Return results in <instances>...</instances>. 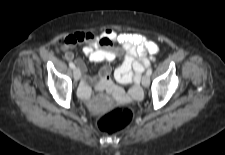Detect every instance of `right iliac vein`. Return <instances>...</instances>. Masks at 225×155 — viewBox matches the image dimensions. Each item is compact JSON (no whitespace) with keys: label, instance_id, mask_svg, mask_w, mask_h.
I'll list each match as a JSON object with an SVG mask.
<instances>
[{"label":"right iliac vein","instance_id":"1","mask_svg":"<svg viewBox=\"0 0 225 155\" xmlns=\"http://www.w3.org/2000/svg\"><path fill=\"white\" fill-rule=\"evenodd\" d=\"M73 76H74V79L76 81H78L80 79L81 73H80L79 68H74V70H73Z\"/></svg>","mask_w":225,"mask_h":155}]
</instances>
